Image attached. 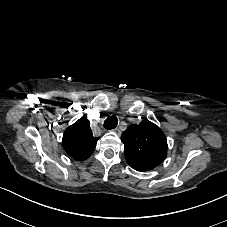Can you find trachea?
Masks as SVG:
<instances>
[{"label": "trachea", "instance_id": "3493384b", "mask_svg": "<svg viewBox=\"0 0 227 227\" xmlns=\"http://www.w3.org/2000/svg\"><path fill=\"white\" fill-rule=\"evenodd\" d=\"M118 125V118L116 115L109 116L105 121L103 126L105 129H114Z\"/></svg>", "mask_w": 227, "mask_h": 227}]
</instances>
